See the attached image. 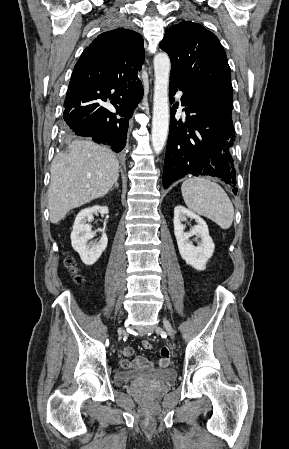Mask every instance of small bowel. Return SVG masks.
I'll list each match as a JSON object with an SVG mask.
<instances>
[{
  "label": "small bowel",
  "mask_w": 289,
  "mask_h": 449,
  "mask_svg": "<svg viewBox=\"0 0 289 449\" xmlns=\"http://www.w3.org/2000/svg\"><path fill=\"white\" fill-rule=\"evenodd\" d=\"M134 353L132 347L127 346L123 349V355L126 357L120 360V366L122 369H150L153 367V362L149 359L138 356L133 360H129L128 357H131ZM159 361L158 365L162 369H169L171 367L170 359V348L168 346H163L159 352Z\"/></svg>",
  "instance_id": "small-bowel-1"
}]
</instances>
